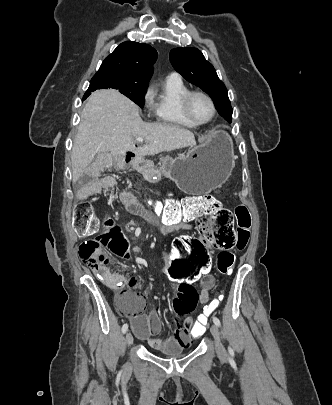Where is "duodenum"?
Returning <instances> with one entry per match:
<instances>
[{
    "instance_id": "duodenum-1",
    "label": "duodenum",
    "mask_w": 332,
    "mask_h": 405,
    "mask_svg": "<svg viewBox=\"0 0 332 405\" xmlns=\"http://www.w3.org/2000/svg\"><path fill=\"white\" fill-rule=\"evenodd\" d=\"M134 158V153L128 152L126 154V162L129 163ZM186 219H178V220H167L165 221L162 226L161 230L163 233H169L173 230H177L183 227V221Z\"/></svg>"
}]
</instances>
